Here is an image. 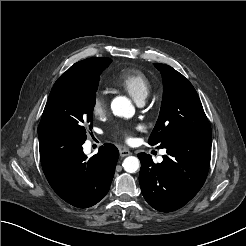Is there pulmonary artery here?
<instances>
[{"mask_svg": "<svg viewBox=\"0 0 246 246\" xmlns=\"http://www.w3.org/2000/svg\"><path fill=\"white\" fill-rule=\"evenodd\" d=\"M138 104L139 105H143V101H138Z\"/></svg>", "mask_w": 246, "mask_h": 246, "instance_id": "pulmonary-artery-1", "label": "pulmonary artery"}]
</instances>
